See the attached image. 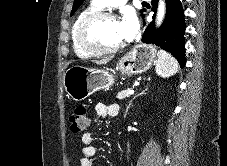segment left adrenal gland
I'll list each match as a JSON object with an SVG mask.
<instances>
[{
    "instance_id": "a2214340",
    "label": "left adrenal gland",
    "mask_w": 227,
    "mask_h": 166,
    "mask_svg": "<svg viewBox=\"0 0 227 166\" xmlns=\"http://www.w3.org/2000/svg\"><path fill=\"white\" fill-rule=\"evenodd\" d=\"M146 90H147V88L144 89V90H142L138 95H136V96L133 97V99H132V100L129 102V104L127 105V108H126V111H125V116L127 115L128 109H129V107L132 105L133 100H134L136 97L145 94V91H146Z\"/></svg>"
}]
</instances>
